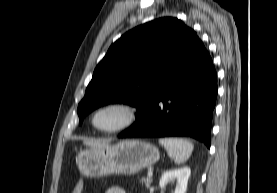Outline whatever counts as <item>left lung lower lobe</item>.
I'll use <instances>...</instances> for the list:
<instances>
[{
	"instance_id": "1",
	"label": "left lung lower lobe",
	"mask_w": 277,
	"mask_h": 193,
	"mask_svg": "<svg viewBox=\"0 0 277 193\" xmlns=\"http://www.w3.org/2000/svg\"><path fill=\"white\" fill-rule=\"evenodd\" d=\"M217 74L198 38L190 55L119 138L189 136L210 147Z\"/></svg>"
}]
</instances>
